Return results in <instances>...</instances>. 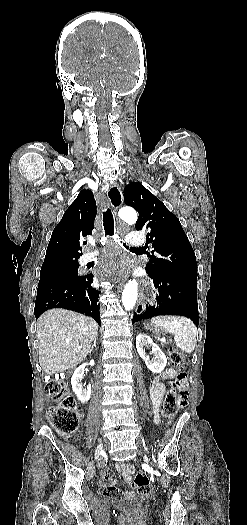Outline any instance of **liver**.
<instances>
[{
  "instance_id": "1",
  "label": "liver",
  "mask_w": 247,
  "mask_h": 525,
  "mask_svg": "<svg viewBox=\"0 0 247 525\" xmlns=\"http://www.w3.org/2000/svg\"><path fill=\"white\" fill-rule=\"evenodd\" d=\"M98 327L94 319L75 311H45L37 321L39 363L45 375L63 373L85 361Z\"/></svg>"
}]
</instances>
